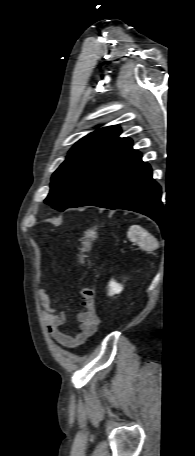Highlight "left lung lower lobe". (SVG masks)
<instances>
[{
    "mask_svg": "<svg viewBox=\"0 0 195 456\" xmlns=\"http://www.w3.org/2000/svg\"><path fill=\"white\" fill-rule=\"evenodd\" d=\"M81 206L125 209L158 221L163 210L161 187L153 180L150 165L131 145L104 184Z\"/></svg>",
    "mask_w": 195,
    "mask_h": 456,
    "instance_id": "obj_1",
    "label": "left lung lower lobe"
}]
</instances>
